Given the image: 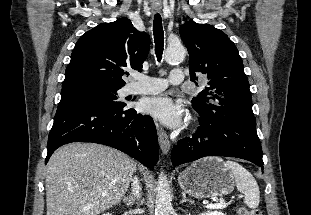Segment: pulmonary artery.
Returning <instances> with one entry per match:
<instances>
[{"instance_id":"obj_1","label":"pulmonary artery","mask_w":311,"mask_h":215,"mask_svg":"<svg viewBox=\"0 0 311 215\" xmlns=\"http://www.w3.org/2000/svg\"><path fill=\"white\" fill-rule=\"evenodd\" d=\"M137 82L128 87L130 94H157L165 90L168 84L178 85L184 81L185 75L181 68H174L169 75L168 80L161 78L137 75Z\"/></svg>"}]
</instances>
